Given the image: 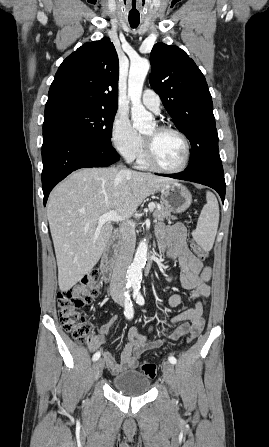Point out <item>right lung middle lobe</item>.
I'll return each mask as SVG.
<instances>
[{
    "label": "right lung middle lobe",
    "instance_id": "obj_1",
    "mask_svg": "<svg viewBox=\"0 0 269 447\" xmlns=\"http://www.w3.org/2000/svg\"><path fill=\"white\" fill-rule=\"evenodd\" d=\"M115 109L99 107H61L45 114V119L62 121L77 132L107 145H111V133Z\"/></svg>",
    "mask_w": 269,
    "mask_h": 447
}]
</instances>
